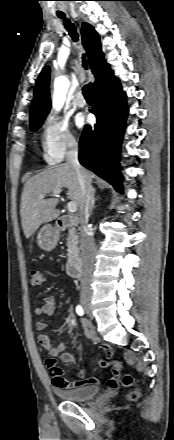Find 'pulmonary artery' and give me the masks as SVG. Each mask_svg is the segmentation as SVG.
Wrapping results in <instances>:
<instances>
[{
    "label": "pulmonary artery",
    "mask_w": 174,
    "mask_h": 440,
    "mask_svg": "<svg viewBox=\"0 0 174 440\" xmlns=\"http://www.w3.org/2000/svg\"><path fill=\"white\" fill-rule=\"evenodd\" d=\"M75 103L78 107H84L86 105V100L84 99L82 94H79L75 99Z\"/></svg>",
    "instance_id": "obj_1"
}]
</instances>
